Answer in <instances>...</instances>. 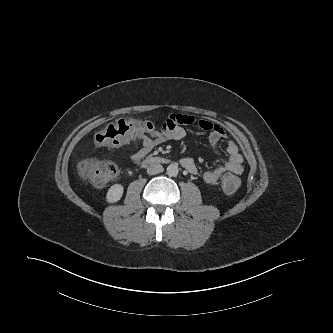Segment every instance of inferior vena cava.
<instances>
[{
	"label": "inferior vena cava",
	"mask_w": 333,
	"mask_h": 333,
	"mask_svg": "<svg viewBox=\"0 0 333 333\" xmlns=\"http://www.w3.org/2000/svg\"><path fill=\"white\" fill-rule=\"evenodd\" d=\"M163 166L161 164L152 163L147 167V173L149 175H156L163 172Z\"/></svg>",
	"instance_id": "inferior-vena-cava-1"
}]
</instances>
